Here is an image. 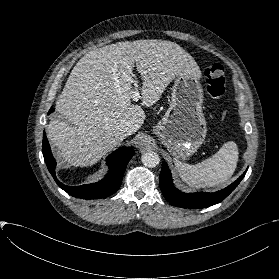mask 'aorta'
Instances as JSON below:
<instances>
[{
    "label": "aorta",
    "instance_id": "762f6f07",
    "mask_svg": "<svg viewBox=\"0 0 279 279\" xmlns=\"http://www.w3.org/2000/svg\"><path fill=\"white\" fill-rule=\"evenodd\" d=\"M142 164L148 168L156 167L159 162L160 158L159 155L154 151H147L143 153L141 157Z\"/></svg>",
    "mask_w": 279,
    "mask_h": 279
}]
</instances>
